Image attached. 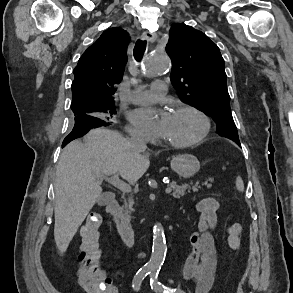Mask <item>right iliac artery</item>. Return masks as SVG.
<instances>
[{"mask_svg":"<svg viewBox=\"0 0 293 293\" xmlns=\"http://www.w3.org/2000/svg\"><path fill=\"white\" fill-rule=\"evenodd\" d=\"M151 268L142 267L138 270L132 281V287L135 291L140 289L143 279L150 273Z\"/></svg>","mask_w":293,"mask_h":293,"instance_id":"right-iliac-artery-1","label":"right iliac artery"}]
</instances>
